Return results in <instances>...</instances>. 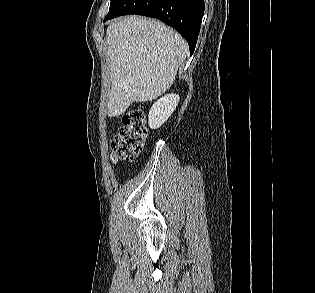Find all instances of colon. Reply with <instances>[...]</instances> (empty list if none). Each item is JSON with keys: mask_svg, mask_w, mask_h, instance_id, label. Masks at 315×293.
I'll return each instance as SVG.
<instances>
[{"mask_svg": "<svg viewBox=\"0 0 315 293\" xmlns=\"http://www.w3.org/2000/svg\"><path fill=\"white\" fill-rule=\"evenodd\" d=\"M123 126L111 140L114 161L132 160L139 155L147 137L145 115L141 109H130L122 115Z\"/></svg>", "mask_w": 315, "mask_h": 293, "instance_id": "5ec220e1", "label": "colon"}]
</instances>
